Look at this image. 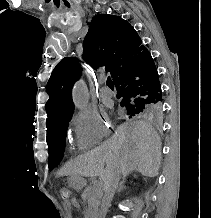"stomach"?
Masks as SVG:
<instances>
[{"mask_svg": "<svg viewBox=\"0 0 211 218\" xmlns=\"http://www.w3.org/2000/svg\"><path fill=\"white\" fill-rule=\"evenodd\" d=\"M69 185L74 189H81L85 186V179L78 173H73L69 177Z\"/></svg>", "mask_w": 211, "mask_h": 218, "instance_id": "0dacf381", "label": "stomach"}]
</instances>
